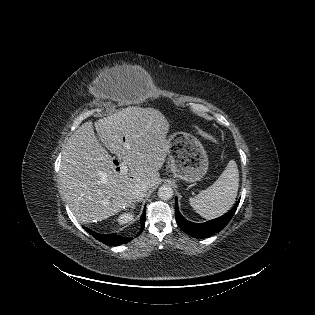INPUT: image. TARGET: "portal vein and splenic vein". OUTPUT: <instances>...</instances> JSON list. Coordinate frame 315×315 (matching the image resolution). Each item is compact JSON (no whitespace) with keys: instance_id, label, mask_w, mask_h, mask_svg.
Returning <instances> with one entry per match:
<instances>
[{"instance_id":"1","label":"portal vein and splenic vein","mask_w":315,"mask_h":315,"mask_svg":"<svg viewBox=\"0 0 315 315\" xmlns=\"http://www.w3.org/2000/svg\"><path fill=\"white\" fill-rule=\"evenodd\" d=\"M128 172V167L125 164L121 165V173L122 174H127Z\"/></svg>"}]
</instances>
